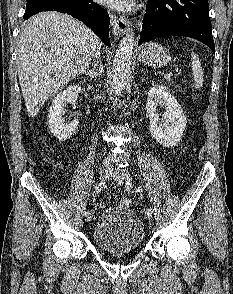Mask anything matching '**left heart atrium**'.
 <instances>
[{
	"label": "left heart atrium",
	"instance_id": "39dd6f15",
	"mask_svg": "<svg viewBox=\"0 0 233 294\" xmlns=\"http://www.w3.org/2000/svg\"><path fill=\"white\" fill-rule=\"evenodd\" d=\"M100 3L114 8L116 10L125 11L129 10L134 5V0H99Z\"/></svg>",
	"mask_w": 233,
	"mask_h": 294
}]
</instances>
